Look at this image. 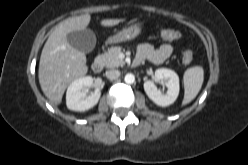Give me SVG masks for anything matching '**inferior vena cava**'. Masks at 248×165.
I'll use <instances>...</instances> for the list:
<instances>
[{"label":"inferior vena cava","instance_id":"obj_1","mask_svg":"<svg viewBox=\"0 0 248 165\" xmlns=\"http://www.w3.org/2000/svg\"><path fill=\"white\" fill-rule=\"evenodd\" d=\"M106 77L110 80H115L117 78H119L120 76V71L119 70H108L106 71Z\"/></svg>","mask_w":248,"mask_h":165}]
</instances>
